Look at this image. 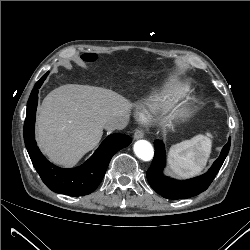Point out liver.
<instances>
[{"instance_id": "liver-1", "label": "liver", "mask_w": 250, "mask_h": 250, "mask_svg": "<svg viewBox=\"0 0 250 250\" xmlns=\"http://www.w3.org/2000/svg\"><path fill=\"white\" fill-rule=\"evenodd\" d=\"M130 102L101 87L67 84L51 91L37 117L42 152L61 166L75 165L101 140L105 122L127 115Z\"/></svg>"}]
</instances>
